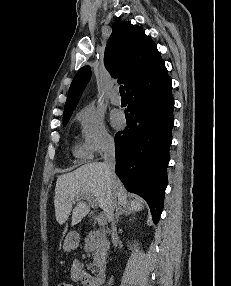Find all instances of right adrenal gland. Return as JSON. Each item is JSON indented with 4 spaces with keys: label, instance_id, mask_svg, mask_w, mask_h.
<instances>
[{
    "label": "right adrenal gland",
    "instance_id": "right-adrenal-gland-1",
    "mask_svg": "<svg viewBox=\"0 0 231 286\" xmlns=\"http://www.w3.org/2000/svg\"><path fill=\"white\" fill-rule=\"evenodd\" d=\"M121 215H134V211L126 206H122L120 204H116V215H115V220L118 222L119 217Z\"/></svg>",
    "mask_w": 231,
    "mask_h": 286
}]
</instances>
